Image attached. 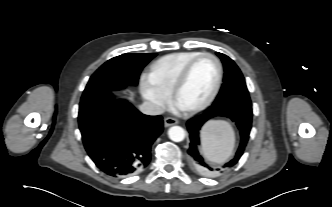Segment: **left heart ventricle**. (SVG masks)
<instances>
[{"instance_id": "b2bd125f", "label": "left heart ventricle", "mask_w": 332, "mask_h": 207, "mask_svg": "<svg viewBox=\"0 0 332 207\" xmlns=\"http://www.w3.org/2000/svg\"><path fill=\"white\" fill-rule=\"evenodd\" d=\"M217 77L213 59L203 57L191 69L189 77L178 96V106L186 109L202 103L211 93Z\"/></svg>"}]
</instances>
